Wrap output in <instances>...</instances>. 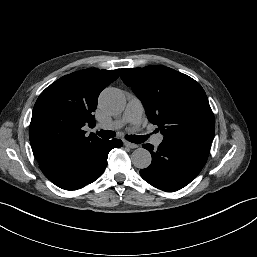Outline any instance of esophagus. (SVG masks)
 <instances>
[{"mask_svg": "<svg viewBox=\"0 0 257 257\" xmlns=\"http://www.w3.org/2000/svg\"><path fill=\"white\" fill-rule=\"evenodd\" d=\"M124 145H125L126 147H129V148H132V149L139 147L138 144H134V143H131V142H128V141H124Z\"/></svg>", "mask_w": 257, "mask_h": 257, "instance_id": "34e87169", "label": "esophagus"}]
</instances>
